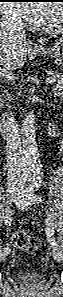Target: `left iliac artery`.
I'll return each instance as SVG.
<instances>
[{
    "label": "left iliac artery",
    "instance_id": "1",
    "mask_svg": "<svg viewBox=\"0 0 63 297\" xmlns=\"http://www.w3.org/2000/svg\"><path fill=\"white\" fill-rule=\"evenodd\" d=\"M17 199L15 200L16 205L19 207H24V205H31L35 204L41 201V197L39 195H36L34 193V188L31 187L30 189H27L25 191H22L19 193ZM54 227H53V222L51 219V215H47V235L49 237V242L51 243L52 246L57 247V242L55 241L54 237Z\"/></svg>",
    "mask_w": 63,
    "mask_h": 297
}]
</instances>
